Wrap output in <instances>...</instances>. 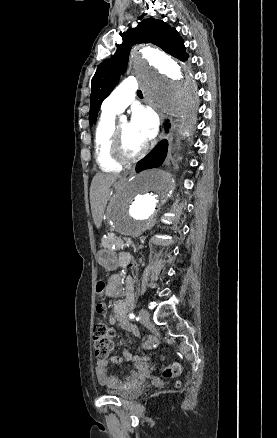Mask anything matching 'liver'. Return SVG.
Listing matches in <instances>:
<instances>
[{"mask_svg": "<svg viewBox=\"0 0 277 438\" xmlns=\"http://www.w3.org/2000/svg\"><path fill=\"white\" fill-rule=\"evenodd\" d=\"M117 174H96L90 190L91 212L96 228L102 224L103 214L109 200V188L118 180Z\"/></svg>", "mask_w": 277, "mask_h": 438, "instance_id": "6515ba94", "label": "liver"}]
</instances>
